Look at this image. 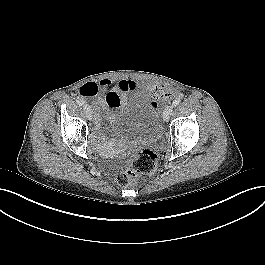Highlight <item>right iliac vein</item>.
I'll return each mask as SVG.
<instances>
[{
	"mask_svg": "<svg viewBox=\"0 0 265 265\" xmlns=\"http://www.w3.org/2000/svg\"><path fill=\"white\" fill-rule=\"evenodd\" d=\"M84 110H85L86 117L88 118V120H91L93 117L91 107L86 104V105H84Z\"/></svg>",
	"mask_w": 265,
	"mask_h": 265,
	"instance_id": "right-iliac-vein-1",
	"label": "right iliac vein"
}]
</instances>
